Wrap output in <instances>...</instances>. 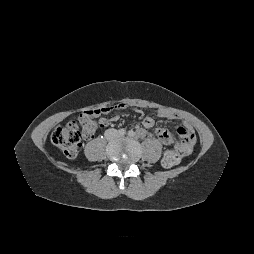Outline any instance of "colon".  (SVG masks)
I'll return each mask as SVG.
<instances>
[{
	"mask_svg": "<svg viewBox=\"0 0 254 254\" xmlns=\"http://www.w3.org/2000/svg\"><path fill=\"white\" fill-rule=\"evenodd\" d=\"M103 111L104 109L84 112L78 118L56 127L51 135L52 143L61 149L66 157L75 158L82 146V139L92 137L96 130L97 123L94 117ZM180 160L181 155L178 152L169 151L163 162L168 166H174Z\"/></svg>",
	"mask_w": 254,
	"mask_h": 254,
	"instance_id": "1",
	"label": "colon"
}]
</instances>
